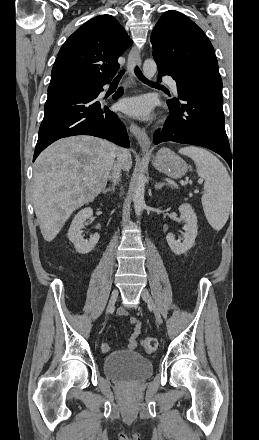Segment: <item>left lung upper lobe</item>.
I'll list each match as a JSON object with an SVG mask.
<instances>
[{"mask_svg":"<svg viewBox=\"0 0 259 440\" xmlns=\"http://www.w3.org/2000/svg\"><path fill=\"white\" fill-rule=\"evenodd\" d=\"M151 43L154 60L165 65L179 85L203 81L222 87L214 48L187 16L165 12L153 29Z\"/></svg>","mask_w":259,"mask_h":440,"instance_id":"left-lung-upper-lobe-1","label":"left lung upper lobe"}]
</instances>
